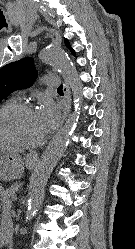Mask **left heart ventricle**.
<instances>
[{
    "label": "left heart ventricle",
    "mask_w": 135,
    "mask_h": 249,
    "mask_svg": "<svg viewBox=\"0 0 135 249\" xmlns=\"http://www.w3.org/2000/svg\"><path fill=\"white\" fill-rule=\"evenodd\" d=\"M6 124L26 141H36L43 136L36 110L16 113L6 120Z\"/></svg>",
    "instance_id": "b2bd125f"
}]
</instances>
